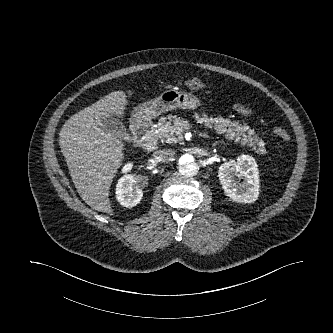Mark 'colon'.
Instances as JSON below:
<instances>
[{
    "label": "colon",
    "mask_w": 333,
    "mask_h": 333,
    "mask_svg": "<svg viewBox=\"0 0 333 333\" xmlns=\"http://www.w3.org/2000/svg\"><path fill=\"white\" fill-rule=\"evenodd\" d=\"M183 87L188 90H201L205 87V84L202 80L198 78H189L183 82ZM274 135L283 142L289 141L290 136L288 132L281 127H274L273 128Z\"/></svg>",
    "instance_id": "colon-1"
}]
</instances>
